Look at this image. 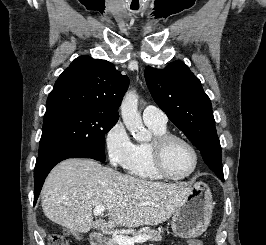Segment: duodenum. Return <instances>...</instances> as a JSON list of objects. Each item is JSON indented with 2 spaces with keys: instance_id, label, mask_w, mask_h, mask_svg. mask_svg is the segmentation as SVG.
<instances>
[{
  "instance_id": "obj_1",
  "label": "duodenum",
  "mask_w": 266,
  "mask_h": 245,
  "mask_svg": "<svg viewBox=\"0 0 266 245\" xmlns=\"http://www.w3.org/2000/svg\"><path fill=\"white\" fill-rule=\"evenodd\" d=\"M91 245H102L101 239L94 236L91 240Z\"/></svg>"
}]
</instances>
